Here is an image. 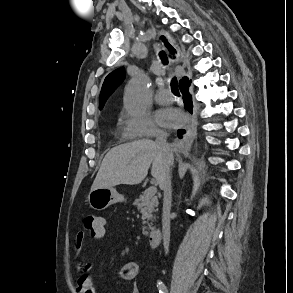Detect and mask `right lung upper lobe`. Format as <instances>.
<instances>
[{"label":"right lung upper lobe","instance_id":"right-lung-upper-lobe-1","mask_svg":"<svg viewBox=\"0 0 293 293\" xmlns=\"http://www.w3.org/2000/svg\"><path fill=\"white\" fill-rule=\"evenodd\" d=\"M161 39L163 40L165 46L169 49L171 53L175 52V49L172 47V45L167 41V39L164 36H161ZM125 78V70L124 68H118L115 71L111 72L106 78L103 83L101 93H100V99H99V108L102 109L107 98L110 96V94L115 90V88L123 81ZM188 79L187 77H184L181 81H185Z\"/></svg>","mask_w":293,"mask_h":293}]
</instances>
